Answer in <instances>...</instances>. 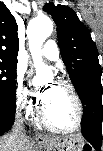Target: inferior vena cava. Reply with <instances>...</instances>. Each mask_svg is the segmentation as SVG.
<instances>
[{
	"mask_svg": "<svg viewBox=\"0 0 103 151\" xmlns=\"http://www.w3.org/2000/svg\"><path fill=\"white\" fill-rule=\"evenodd\" d=\"M18 117L15 120V127L13 128V134L18 135V134H22L21 130H22V121L23 119L20 117V114H17Z\"/></svg>",
	"mask_w": 103,
	"mask_h": 151,
	"instance_id": "1",
	"label": "inferior vena cava"
}]
</instances>
